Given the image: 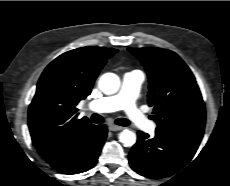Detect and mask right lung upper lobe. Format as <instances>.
Segmentation results:
<instances>
[{
    "label": "right lung upper lobe",
    "mask_w": 230,
    "mask_h": 186,
    "mask_svg": "<svg viewBox=\"0 0 230 186\" xmlns=\"http://www.w3.org/2000/svg\"><path fill=\"white\" fill-rule=\"evenodd\" d=\"M113 48L82 47L53 60L42 73L29 106L32 142L42 157H49L91 124L77 119L76 105L90 93Z\"/></svg>",
    "instance_id": "right-lung-upper-lobe-1"
}]
</instances>
